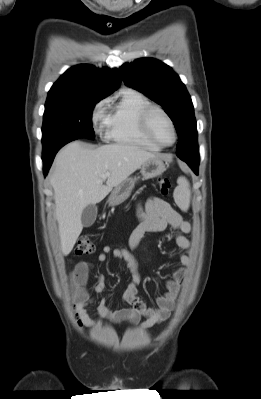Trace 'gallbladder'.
<instances>
[{
	"label": "gallbladder",
	"mask_w": 261,
	"mask_h": 399,
	"mask_svg": "<svg viewBox=\"0 0 261 399\" xmlns=\"http://www.w3.org/2000/svg\"><path fill=\"white\" fill-rule=\"evenodd\" d=\"M97 206L90 204L86 206L81 214V222L84 227H90L96 220L97 217Z\"/></svg>",
	"instance_id": "obj_1"
}]
</instances>
